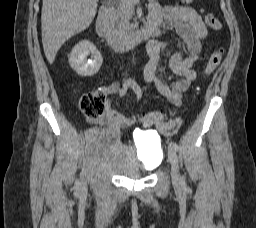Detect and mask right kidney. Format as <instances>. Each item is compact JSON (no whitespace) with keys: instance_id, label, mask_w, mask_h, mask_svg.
Returning <instances> with one entry per match:
<instances>
[{"instance_id":"right-kidney-1","label":"right kidney","mask_w":256,"mask_h":228,"mask_svg":"<svg viewBox=\"0 0 256 228\" xmlns=\"http://www.w3.org/2000/svg\"><path fill=\"white\" fill-rule=\"evenodd\" d=\"M91 55L92 59L87 60ZM69 63L71 68L82 77H90L98 72L103 63L101 53L90 41H81L74 46L70 55Z\"/></svg>"}]
</instances>
